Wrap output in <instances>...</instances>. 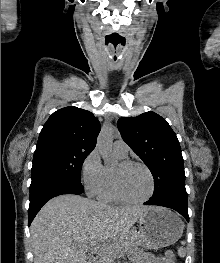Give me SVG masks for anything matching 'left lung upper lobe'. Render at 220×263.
Returning <instances> with one entry per match:
<instances>
[{
  "mask_svg": "<svg viewBox=\"0 0 220 263\" xmlns=\"http://www.w3.org/2000/svg\"><path fill=\"white\" fill-rule=\"evenodd\" d=\"M123 140L143 160L154 178L152 200L187 204L181 148L167 121L154 112L122 117L117 122Z\"/></svg>",
  "mask_w": 220,
  "mask_h": 263,
  "instance_id": "left-lung-upper-lobe-1",
  "label": "left lung upper lobe"
}]
</instances>
